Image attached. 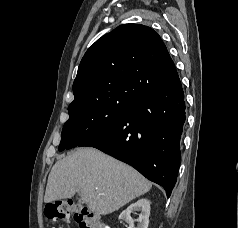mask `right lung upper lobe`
I'll return each instance as SVG.
<instances>
[{"instance_id":"right-lung-upper-lobe-1","label":"right lung upper lobe","mask_w":238,"mask_h":228,"mask_svg":"<svg viewBox=\"0 0 238 228\" xmlns=\"http://www.w3.org/2000/svg\"><path fill=\"white\" fill-rule=\"evenodd\" d=\"M178 81L174 62L160 36L148 26L124 24L102 36L85 53L68 111L129 104Z\"/></svg>"}]
</instances>
